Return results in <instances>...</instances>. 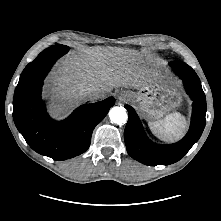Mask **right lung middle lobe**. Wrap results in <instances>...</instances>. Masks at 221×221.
Masks as SVG:
<instances>
[{"label": "right lung middle lobe", "instance_id": "obj_1", "mask_svg": "<svg viewBox=\"0 0 221 221\" xmlns=\"http://www.w3.org/2000/svg\"><path fill=\"white\" fill-rule=\"evenodd\" d=\"M50 48H58V49H66V50H69V48H68L67 46L60 45V44L53 45V46H51Z\"/></svg>", "mask_w": 221, "mask_h": 221}]
</instances>
